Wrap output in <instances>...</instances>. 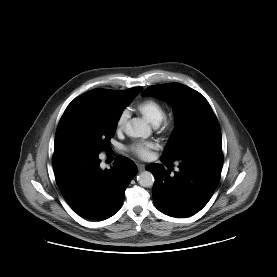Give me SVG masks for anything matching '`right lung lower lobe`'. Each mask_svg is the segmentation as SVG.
Listing matches in <instances>:
<instances>
[{
	"instance_id": "obj_1",
	"label": "right lung lower lobe",
	"mask_w": 277,
	"mask_h": 277,
	"mask_svg": "<svg viewBox=\"0 0 277 277\" xmlns=\"http://www.w3.org/2000/svg\"><path fill=\"white\" fill-rule=\"evenodd\" d=\"M97 153L72 149L54 151L56 183L69 206L80 216L103 220L121 207L125 189L137 173L135 163L118 156L115 167L102 170Z\"/></svg>"
}]
</instances>
